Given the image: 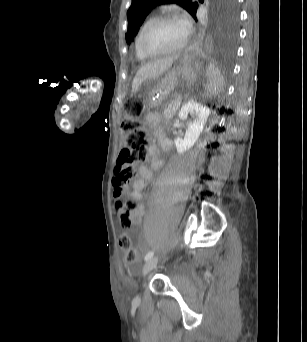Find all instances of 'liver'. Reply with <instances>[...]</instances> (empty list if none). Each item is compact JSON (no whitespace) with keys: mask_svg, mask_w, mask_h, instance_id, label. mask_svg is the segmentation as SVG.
Here are the masks:
<instances>
[{"mask_svg":"<svg viewBox=\"0 0 307 342\" xmlns=\"http://www.w3.org/2000/svg\"><path fill=\"white\" fill-rule=\"evenodd\" d=\"M178 56H171V58H160V60H155V62H147L144 66H141L137 70L133 82L131 92H137L139 86L143 84L144 80L148 78H158L163 72L172 68L173 60H176Z\"/></svg>","mask_w":307,"mask_h":342,"instance_id":"1","label":"liver"}]
</instances>
